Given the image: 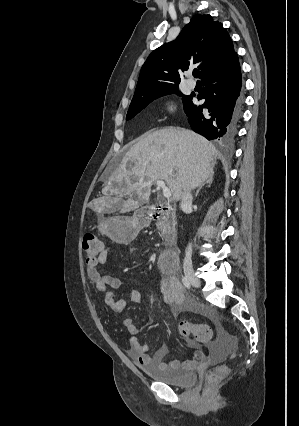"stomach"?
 I'll return each mask as SVG.
<instances>
[{
  "label": "stomach",
  "mask_w": 299,
  "mask_h": 426,
  "mask_svg": "<svg viewBox=\"0 0 299 426\" xmlns=\"http://www.w3.org/2000/svg\"><path fill=\"white\" fill-rule=\"evenodd\" d=\"M102 235H106L118 243H126L135 238L137 226L132 218L127 217H106L98 221L97 226Z\"/></svg>",
  "instance_id": "stomach-1"
}]
</instances>
